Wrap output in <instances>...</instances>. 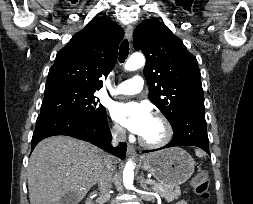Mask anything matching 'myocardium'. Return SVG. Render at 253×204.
<instances>
[{
    "label": "myocardium",
    "instance_id": "myocardium-1",
    "mask_svg": "<svg viewBox=\"0 0 253 204\" xmlns=\"http://www.w3.org/2000/svg\"><path fill=\"white\" fill-rule=\"evenodd\" d=\"M153 118H155L156 120H158L162 124V126L164 128V135L160 140L155 141V142L147 141L144 138H142L141 136H139V138H138L139 143L143 147L148 148V149H158V148L164 147L171 141V139L173 137L172 125L165 116L156 113L153 115Z\"/></svg>",
    "mask_w": 253,
    "mask_h": 204
}]
</instances>
